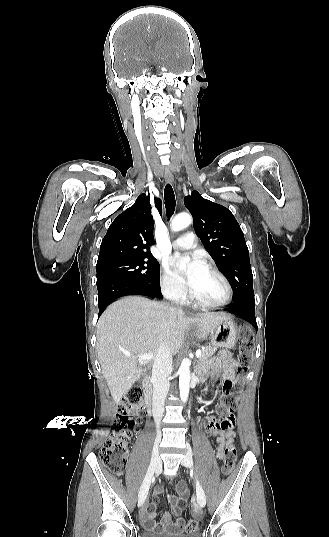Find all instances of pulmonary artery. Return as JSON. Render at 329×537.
<instances>
[{"label": "pulmonary artery", "instance_id": "pulmonary-artery-1", "mask_svg": "<svg viewBox=\"0 0 329 537\" xmlns=\"http://www.w3.org/2000/svg\"><path fill=\"white\" fill-rule=\"evenodd\" d=\"M197 246L196 236L193 232H188L172 243V247L179 250L192 249Z\"/></svg>", "mask_w": 329, "mask_h": 537}]
</instances>
